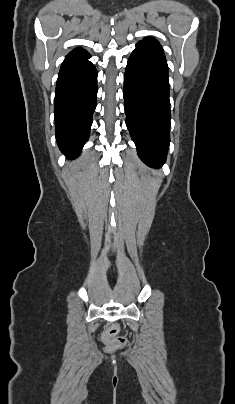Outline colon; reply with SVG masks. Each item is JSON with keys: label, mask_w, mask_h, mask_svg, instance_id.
Here are the masks:
<instances>
[{"label": "colon", "mask_w": 235, "mask_h": 404, "mask_svg": "<svg viewBox=\"0 0 235 404\" xmlns=\"http://www.w3.org/2000/svg\"><path fill=\"white\" fill-rule=\"evenodd\" d=\"M118 327L114 324L110 325L101 335L102 341L109 350L114 351L125 346L127 339L124 336H116Z\"/></svg>", "instance_id": "5ec220e1"}]
</instances>
